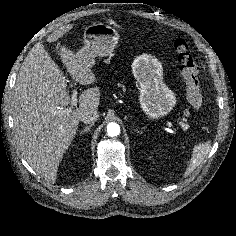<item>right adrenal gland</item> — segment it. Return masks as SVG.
Listing matches in <instances>:
<instances>
[{
    "label": "right adrenal gland",
    "instance_id": "1",
    "mask_svg": "<svg viewBox=\"0 0 236 236\" xmlns=\"http://www.w3.org/2000/svg\"><path fill=\"white\" fill-rule=\"evenodd\" d=\"M93 125L94 123L86 126L83 130L80 131V135H83L84 133H88Z\"/></svg>",
    "mask_w": 236,
    "mask_h": 236
}]
</instances>
